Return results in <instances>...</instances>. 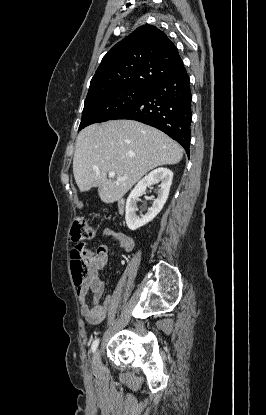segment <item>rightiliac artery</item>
Masks as SVG:
<instances>
[{
	"label": "right iliac artery",
	"instance_id": "1",
	"mask_svg": "<svg viewBox=\"0 0 266 415\" xmlns=\"http://www.w3.org/2000/svg\"><path fill=\"white\" fill-rule=\"evenodd\" d=\"M98 344H99V339H96V340L92 343V347H91V349H92V352H93V353L96 351V349H97V347H98Z\"/></svg>",
	"mask_w": 266,
	"mask_h": 415
}]
</instances>
